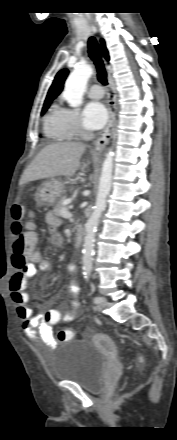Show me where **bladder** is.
I'll use <instances>...</instances> for the list:
<instances>
[{"label": "bladder", "mask_w": 177, "mask_h": 440, "mask_svg": "<svg viewBox=\"0 0 177 440\" xmlns=\"http://www.w3.org/2000/svg\"><path fill=\"white\" fill-rule=\"evenodd\" d=\"M104 347L97 348L91 342L75 340L63 342L49 366L51 377L76 383L88 392L100 391L108 362L107 350L113 344L104 343Z\"/></svg>", "instance_id": "31cf9c89"}]
</instances>
